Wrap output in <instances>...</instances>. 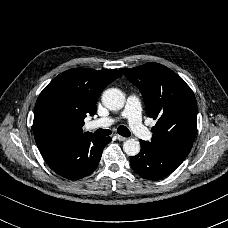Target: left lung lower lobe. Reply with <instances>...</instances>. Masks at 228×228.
<instances>
[{
  "instance_id": "1",
  "label": "left lung lower lobe",
  "mask_w": 228,
  "mask_h": 228,
  "mask_svg": "<svg viewBox=\"0 0 228 228\" xmlns=\"http://www.w3.org/2000/svg\"><path fill=\"white\" fill-rule=\"evenodd\" d=\"M141 151L130 158L132 169L141 177L158 180L171 174L186 158L179 153L159 151L147 142L140 140Z\"/></svg>"
}]
</instances>
